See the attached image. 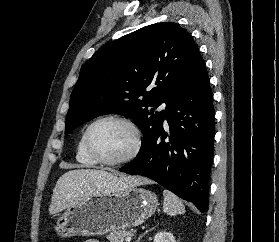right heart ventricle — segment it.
<instances>
[{"instance_id":"right-heart-ventricle-1","label":"right heart ventricle","mask_w":279,"mask_h":242,"mask_svg":"<svg viewBox=\"0 0 279 242\" xmlns=\"http://www.w3.org/2000/svg\"><path fill=\"white\" fill-rule=\"evenodd\" d=\"M84 135L85 132L82 133L80 136L77 146H76V153H75V158L78 163L82 164L83 166L86 167H92L96 165L97 163L87 154L85 150V145H84Z\"/></svg>"}]
</instances>
